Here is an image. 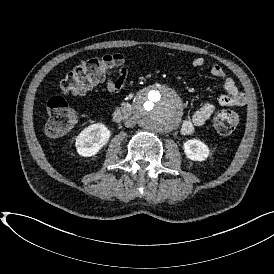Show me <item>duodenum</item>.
Returning <instances> with one entry per match:
<instances>
[{
    "instance_id": "1",
    "label": "duodenum",
    "mask_w": 274,
    "mask_h": 274,
    "mask_svg": "<svg viewBox=\"0 0 274 274\" xmlns=\"http://www.w3.org/2000/svg\"><path fill=\"white\" fill-rule=\"evenodd\" d=\"M131 111V102H124L116 109L114 118L115 120L120 121L129 116L131 114Z\"/></svg>"
}]
</instances>
